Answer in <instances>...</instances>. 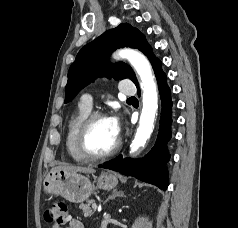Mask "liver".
<instances>
[{"instance_id": "6515ba94", "label": "liver", "mask_w": 238, "mask_h": 228, "mask_svg": "<svg viewBox=\"0 0 238 228\" xmlns=\"http://www.w3.org/2000/svg\"><path fill=\"white\" fill-rule=\"evenodd\" d=\"M63 170L65 172H69V173H94L95 170L92 167H80V166H59V167H55L52 170Z\"/></svg>"}]
</instances>
